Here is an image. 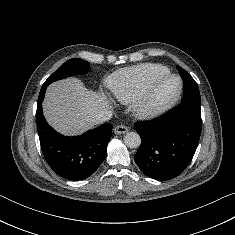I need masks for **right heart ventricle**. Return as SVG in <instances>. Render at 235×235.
<instances>
[{
    "instance_id": "e07e8e85",
    "label": "right heart ventricle",
    "mask_w": 235,
    "mask_h": 235,
    "mask_svg": "<svg viewBox=\"0 0 235 235\" xmlns=\"http://www.w3.org/2000/svg\"><path fill=\"white\" fill-rule=\"evenodd\" d=\"M168 69L160 64L143 63L119 70L108 82L113 97L123 104L134 102L148 82Z\"/></svg>"
}]
</instances>
